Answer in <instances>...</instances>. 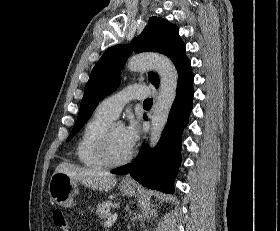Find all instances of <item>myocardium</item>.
Returning a JSON list of instances; mask_svg holds the SVG:
<instances>
[{"label":"myocardium","mask_w":280,"mask_h":231,"mask_svg":"<svg viewBox=\"0 0 280 231\" xmlns=\"http://www.w3.org/2000/svg\"><path fill=\"white\" fill-rule=\"evenodd\" d=\"M114 123H109L102 131L98 145L97 152L100 159L109 167H118L126 164L131 159V154L128 153L121 159H114L110 154L109 136Z\"/></svg>","instance_id":"obj_1"}]
</instances>
